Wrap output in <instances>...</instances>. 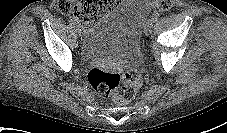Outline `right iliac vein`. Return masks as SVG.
<instances>
[{
	"label": "right iliac vein",
	"mask_w": 227,
	"mask_h": 133,
	"mask_svg": "<svg viewBox=\"0 0 227 133\" xmlns=\"http://www.w3.org/2000/svg\"><path fill=\"white\" fill-rule=\"evenodd\" d=\"M76 31H77V34L82 37L83 33H82V30L81 28L79 27V25L76 26Z\"/></svg>",
	"instance_id": "63e3f726"
}]
</instances>
